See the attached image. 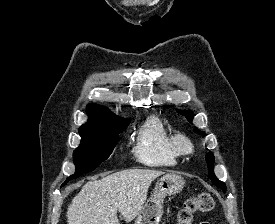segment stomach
<instances>
[{
	"label": "stomach",
	"mask_w": 275,
	"mask_h": 224,
	"mask_svg": "<svg viewBox=\"0 0 275 224\" xmlns=\"http://www.w3.org/2000/svg\"><path fill=\"white\" fill-rule=\"evenodd\" d=\"M184 184L185 181L180 175H163L156 183L152 196L144 204L134 224H159L163 215L164 198L180 193Z\"/></svg>",
	"instance_id": "obj_1"
}]
</instances>
